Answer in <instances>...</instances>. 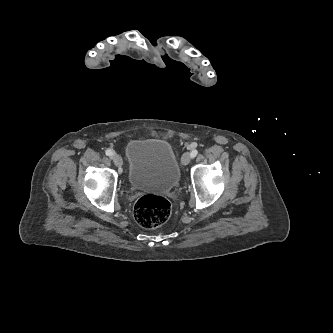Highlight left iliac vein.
Masks as SVG:
<instances>
[{
  "label": "left iliac vein",
  "mask_w": 333,
  "mask_h": 333,
  "mask_svg": "<svg viewBox=\"0 0 333 333\" xmlns=\"http://www.w3.org/2000/svg\"><path fill=\"white\" fill-rule=\"evenodd\" d=\"M182 164L183 165H187L190 163L191 161V154L186 152L183 154L182 158H181Z\"/></svg>",
  "instance_id": "left-iliac-vein-1"
}]
</instances>
